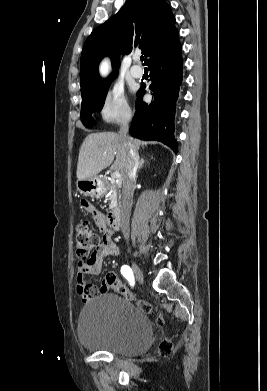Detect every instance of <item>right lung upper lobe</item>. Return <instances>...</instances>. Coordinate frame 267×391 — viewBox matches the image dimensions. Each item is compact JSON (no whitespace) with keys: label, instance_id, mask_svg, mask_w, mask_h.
I'll use <instances>...</instances> for the list:
<instances>
[{"label":"right lung upper lobe","instance_id":"1","mask_svg":"<svg viewBox=\"0 0 267 391\" xmlns=\"http://www.w3.org/2000/svg\"><path fill=\"white\" fill-rule=\"evenodd\" d=\"M179 43L175 17L165 0H128L121 10L97 27L87 38L80 60L81 92L99 85L103 80L98 65L103 57L112 60V75L118 73V52L142 49L148 64L159 54Z\"/></svg>","mask_w":267,"mask_h":391}]
</instances>
